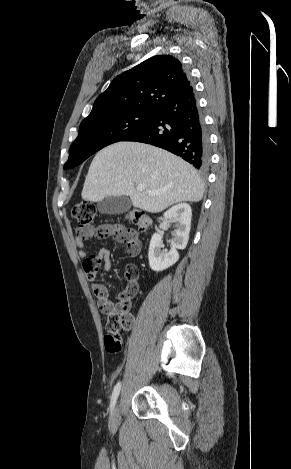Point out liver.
<instances>
[{
    "label": "liver",
    "mask_w": 291,
    "mask_h": 469,
    "mask_svg": "<svg viewBox=\"0 0 291 469\" xmlns=\"http://www.w3.org/2000/svg\"><path fill=\"white\" fill-rule=\"evenodd\" d=\"M144 185L143 191L136 186ZM147 191L156 192L150 196ZM204 183L181 158L148 144L117 142L100 150L91 162L82 199L99 202L129 196L135 208L157 213L180 202H199Z\"/></svg>",
    "instance_id": "1"
}]
</instances>
